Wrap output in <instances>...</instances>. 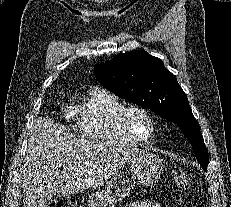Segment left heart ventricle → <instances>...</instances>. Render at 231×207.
<instances>
[{
  "mask_svg": "<svg viewBox=\"0 0 231 207\" xmlns=\"http://www.w3.org/2000/svg\"><path fill=\"white\" fill-rule=\"evenodd\" d=\"M131 122L135 131L143 137L149 135L151 125L147 116L141 112H134L131 114Z\"/></svg>",
  "mask_w": 231,
  "mask_h": 207,
  "instance_id": "obj_1",
  "label": "left heart ventricle"
}]
</instances>
